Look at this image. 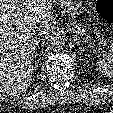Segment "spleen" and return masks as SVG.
Masks as SVG:
<instances>
[{"label": "spleen", "mask_w": 113, "mask_h": 113, "mask_svg": "<svg viewBox=\"0 0 113 113\" xmlns=\"http://www.w3.org/2000/svg\"><path fill=\"white\" fill-rule=\"evenodd\" d=\"M93 66L104 76L113 77V44L110 46L108 55L103 60L93 64Z\"/></svg>", "instance_id": "1"}]
</instances>
